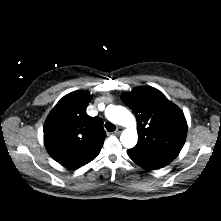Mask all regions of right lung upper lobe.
Returning <instances> with one entry per match:
<instances>
[{"label": "right lung upper lobe", "mask_w": 221, "mask_h": 221, "mask_svg": "<svg viewBox=\"0 0 221 221\" xmlns=\"http://www.w3.org/2000/svg\"><path fill=\"white\" fill-rule=\"evenodd\" d=\"M91 97L85 90L69 93L53 108L44 125L47 151L69 169H78L95 159L106 137L102 119L86 113Z\"/></svg>", "instance_id": "1"}]
</instances>
